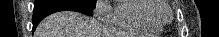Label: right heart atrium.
<instances>
[{"mask_svg":"<svg viewBox=\"0 0 219 37\" xmlns=\"http://www.w3.org/2000/svg\"><path fill=\"white\" fill-rule=\"evenodd\" d=\"M95 16L104 22H109L113 17L111 6L106 0H98L94 6Z\"/></svg>","mask_w":219,"mask_h":37,"instance_id":"obj_1","label":"right heart atrium"}]
</instances>
